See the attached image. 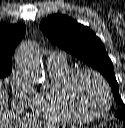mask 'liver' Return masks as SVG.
Returning <instances> with one entry per match:
<instances>
[{
    "mask_svg": "<svg viewBox=\"0 0 125 128\" xmlns=\"http://www.w3.org/2000/svg\"><path fill=\"white\" fill-rule=\"evenodd\" d=\"M7 106V94L0 84V128H8L11 126L12 117L7 109Z\"/></svg>",
    "mask_w": 125,
    "mask_h": 128,
    "instance_id": "obj_1",
    "label": "liver"
}]
</instances>
